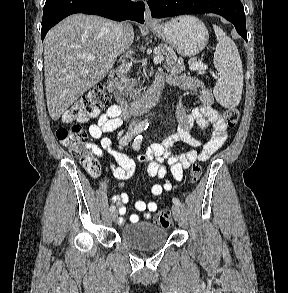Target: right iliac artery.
Instances as JSON below:
<instances>
[{
    "instance_id": "obj_1",
    "label": "right iliac artery",
    "mask_w": 288,
    "mask_h": 293,
    "mask_svg": "<svg viewBox=\"0 0 288 293\" xmlns=\"http://www.w3.org/2000/svg\"><path fill=\"white\" fill-rule=\"evenodd\" d=\"M142 131H143V127H142V126H137V127H135V128L132 130V132H130V133L124 135V136L120 139V141H119L120 145H122V146L127 145V144L132 140V138H133L135 135H138V134L141 133ZM114 210H115V206H114V205H111V206H110V211H114Z\"/></svg>"
}]
</instances>
